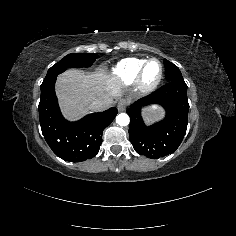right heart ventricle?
<instances>
[{
  "instance_id": "right-heart-ventricle-1",
  "label": "right heart ventricle",
  "mask_w": 236,
  "mask_h": 236,
  "mask_svg": "<svg viewBox=\"0 0 236 236\" xmlns=\"http://www.w3.org/2000/svg\"><path fill=\"white\" fill-rule=\"evenodd\" d=\"M145 61L144 58L134 57L122 59L111 69L113 81L122 86L133 84Z\"/></svg>"
}]
</instances>
